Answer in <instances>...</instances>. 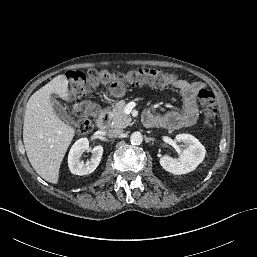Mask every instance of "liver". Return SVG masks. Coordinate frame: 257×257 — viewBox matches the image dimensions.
I'll return each mask as SVG.
<instances>
[{
    "label": "liver",
    "instance_id": "liver-1",
    "mask_svg": "<svg viewBox=\"0 0 257 257\" xmlns=\"http://www.w3.org/2000/svg\"><path fill=\"white\" fill-rule=\"evenodd\" d=\"M68 79L61 74L36 91L28 100L23 125V142L27 157L36 173L56 184L65 153L75 130L53 111V95L69 101Z\"/></svg>",
    "mask_w": 257,
    "mask_h": 257
}]
</instances>
